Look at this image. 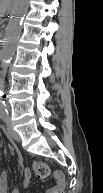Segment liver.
I'll use <instances>...</instances> for the list:
<instances>
[{
	"instance_id": "obj_1",
	"label": "liver",
	"mask_w": 103,
	"mask_h": 193,
	"mask_svg": "<svg viewBox=\"0 0 103 193\" xmlns=\"http://www.w3.org/2000/svg\"><path fill=\"white\" fill-rule=\"evenodd\" d=\"M11 0H1L0 1V12L1 14H5L10 10Z\"/></svg>"
}]
</instances>
